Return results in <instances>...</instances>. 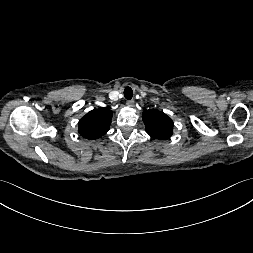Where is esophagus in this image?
<instances>
[{
  "label": "esophagus",
  "mask_w": 253,
  "mask_h": 253,
  "mask_svg": "<svg viewBox=\"0 0 253 253\" xmlns=\"http://www.w3.org/2000/svg\"><path fill=\"white\" fill-rule=\"evenodd\" d=\"M126 105H127L128 107H133V106H134V100H133V99L127 100Z\"/></svg>",
  "instance_id": "obj_1"
}]
</instances>
